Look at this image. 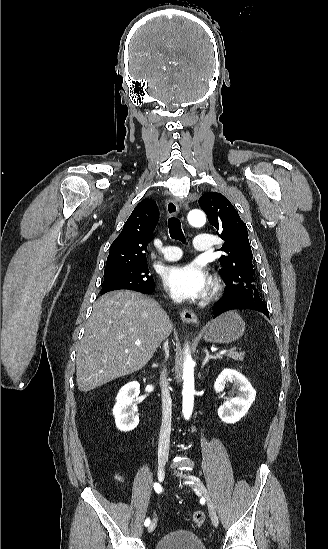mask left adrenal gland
<instances>
[{
    "label": "left adrenal gland",
    "instance_id": "obj_1",
    "mask_svg": "<svg viewBox=\"0 0 328 549\" xmlns=\"http://www.w3.org/2000/svg\"><path fill=\"white\" fill-rule=\"evenodd\" d=\"M204 353H205L206 357H205V359L202 363V369H203L204 365H206V363H208L209 359H216V357H212V355H209L208 349H204Z\"/></svg>",
    "mask_w": 328,
    "mask_h": 549
}]
</instances>
